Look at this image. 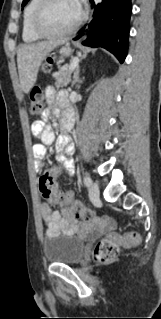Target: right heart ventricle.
I'll return each instance as SVG.
<instances>
[{
	"instance_id": "obj_1",
	"label": "right heart ventricle",
	"mask_w": 161,
	"mask_h": 319,
	"mask_svg": "<svg viewBox=\"0 0 161 319\" xmlns=\"http://www.w3.org/2000/svg\"><path fill=\"white\" fill-rule=\"evenodd\" d=\"M40 1L41 0H30L25 8L22 24V39L25 42H33L40 39L32 29V20Z\"/></svg>"
}]
</instances>
